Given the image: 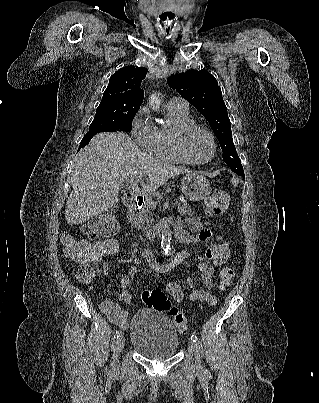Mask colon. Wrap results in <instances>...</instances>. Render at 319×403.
Returning <instances> with one entry per match:
<instances>
[{
	"label": "colon",
	"mask_w": 319,
	"mask_h": 403,
	"mask_svg": "<svg viewBox=\"0 0 319 403\" xmlns=\"http://www.w3.org/2000/svg\"><path fill=\"white\" fill-rule=\"evenodd\" d=\"M228 204V196L225 192L218 191L206 200V210L209 214L216 215L223 212ZM114 210L92 219L88 224L87 231L90 241L76 239L72 235L65 238V249L76 262L79 263L77 277L80 281L90 284L95 280L98 266L99 254L104 258H121L122 241L109 239L118 230V222ZM213 229L221 235L219 240L224 242L226 237L222 235L228 229L227 221H214ZM235 277V272L230 267H225L220 273V286L222 288L230 285ZM145 305L159 312L167 313L179 334L183 335L188 330V322L183 312L175 307L168 299L166 293L159 288L146 290L142 293Z\"/></svg>",
	"instance_id": "1"
}]
</instances>
